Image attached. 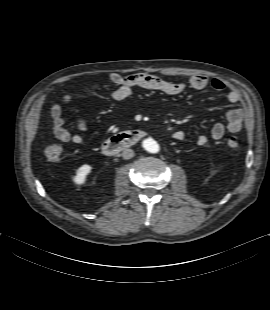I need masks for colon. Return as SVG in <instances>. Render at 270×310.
<instances>
[{"label": "colon", "mask_w": 270, "mask_h": 310, "mask_svg": "<svg viewBox=\"0 0 270 310\" xmlns=\"http://www.w3.org/2000/svg\"><path fill=\"white\" fill-rule=\"evenodd\" d=\"M227 146L228 148L235 150L239 147L240 141L237 137L235 136H230L227 139ZM64 154V148L62 145L57 144V143H52L46 147L45 150V155L48 160L56 162L62 159Z\"/></svg>", "instance_id": "obj_1"}]
</instances>
